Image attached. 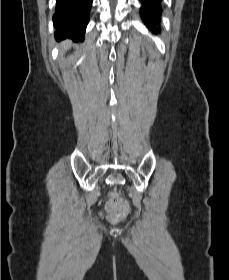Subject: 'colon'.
Returning <instances> with one entry per match:
<instances>
[{
	"instance_id": "obj_1",
	"label": "colon",
	"mask_w": 229,
	"mask_h": 280,
	"mask_svg": "<svg viewBox=\"0 0 229 280\" xmlns=\"http://www.w3.org/2000/svg\"><path fill=\"white\" fill-rule=\"evenodd\" d=\"M107 209L114 218H125L130 213L129 203L116 192L110 193Z\"/></svg>"
}]
</instances>
